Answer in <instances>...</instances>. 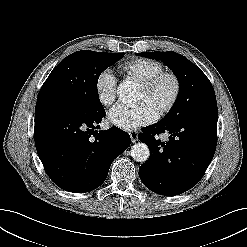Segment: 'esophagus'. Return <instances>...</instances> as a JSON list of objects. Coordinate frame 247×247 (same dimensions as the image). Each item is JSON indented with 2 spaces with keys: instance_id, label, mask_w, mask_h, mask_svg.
<instances>
[{
  "instance_id": "obj_1",
  "label": "esophagus",
  "mask_w": 247,
  "mask_h": 247,
  "mask_svg": "<svg viewBox=\"0 0 247 247\" xmlns=\"http://www.w3.org/2000/svg\"><path fill=\"white\" fill-rule=\"evenodd\" d=\"M129 135L131 137V141L134 143L136 141H138V132L136 130H131L129 132Z\"/></svg>"
}]
</instances>
